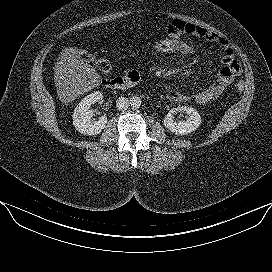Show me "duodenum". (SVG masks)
I'll return each instance as SVG.
<instances>
[{"label": "duodenum", "instance_id": "obj_1", "mask_svg": "<svg viewBox=\"0 0 272 272\" xmlns=\"http://www.w3.org/2000/svg\"><path fill=\"white\" fill-rule=\"evenodd\" d=\"M139 80V76L137 74H126L121 77H115L111 79H107L103 82L104 86L110 89H126L133 85H135Z\"/></svg>", "mask_w": 272, "mask_h": 272}]
</instances>
